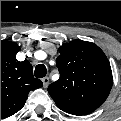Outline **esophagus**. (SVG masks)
Segmentation results:
<instances>
[{"instance_id": "obj_1", "label": "esophagus", "mask_w": 121, "mask_h": 121, "mask_svg": "<svg viewBox=\"0 0 121 121\" xmlns=\"http://www.w3.org/2000/svg\"><path fill=\"white\" fill-rule=\"evenodd\" d=\"M42 82H43V87H44V88H47L48 85H49V78H48V77H44V78L42 79Z\"/></svg>"}]
</instances>
